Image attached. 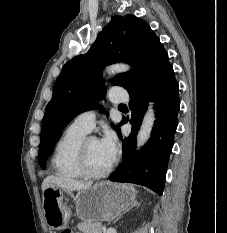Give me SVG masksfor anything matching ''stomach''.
<instances>
[{
	"label": "stomach",
	"mask_w": 227,
	"mask_h": 233,
	"mask_svg": "<svg viewBox=\"0 0 227 233\" xmlns=\"http://www.w3.org/2000/svg\"><path fill=\"white\" fill-rule=\"evenodd\" d=\"M136 193L131 185L100 182L66 200L60 187L51 186L43 194L45 221L54 230L65 228L73 214L84 221L110 222L136 203Z\"/></svg>",
	"instance_id": "1"
}]
</instances>
